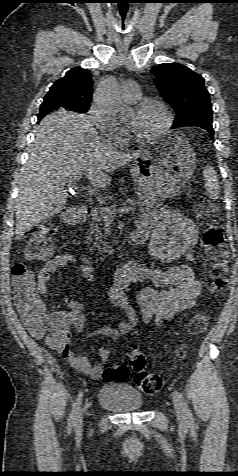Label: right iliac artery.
Instances as JSON below:
<instances>
[{
  "mask_svg": "<svg viewBox=\"0 0 238 476\" xmlns=\"http://www.w3.org/2000/svg\"><path fill=\"white\" fill-rule=\"evenodd\" d=\"M82 392L79 393L77 399H76V402L74 403L73 405V408H72V411H71V414L69 416V420H68V426H67V431L68 433L71 432L72 430V427L74 426L75 424V420H76V417H77V414L80 410V405H81V400H82Z\"/></svg>",
  "mask_w": 238,
  "mask_h": 476,
  "instance_id": "right-iliac-artery-1",
  "label": "right iliac artery"
}]
</instances>
